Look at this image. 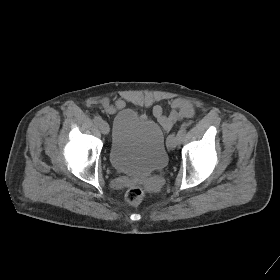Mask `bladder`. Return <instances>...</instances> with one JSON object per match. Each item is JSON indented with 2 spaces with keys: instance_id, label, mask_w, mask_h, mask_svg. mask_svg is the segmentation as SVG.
I'll use <instances>...</instances> for the list:
<instances>
[{
  "instance_id": "1",
  "label": "bladder",
  "mask_w": 280,
  "mask_h": 280,
  "mask_svg": "<svg viewBox=\"0 0 280 280\" xmlns=\"http://www.w3.org/2000/svg\"><path fill=\"white\" fill-rule=\"evenodd\" d=\"M108 155L117 171L131 176L162 170L168 163L164 129L132 109H123L113 121Z\"/></svg>"
}]
</instances>
